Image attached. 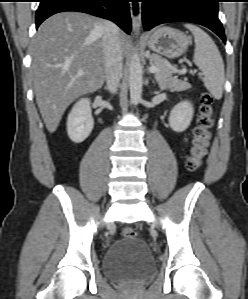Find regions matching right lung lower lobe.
<instances>
[{"label":"right lung lower lobe","instance_id":"1","mask_svg":"<svg viewBox=\"0 0 248 299\" xmlns=\"http://www.w3.org/2000/svg\"><path fill=\"white\" fill-rule=\"evenodd\" d=\"M129 0H40L36 28L48 17L64 11H78L116 23L127 34L131 31Z\"/></svg>","mask_w":248,"mask_h":299}]
</instances>
